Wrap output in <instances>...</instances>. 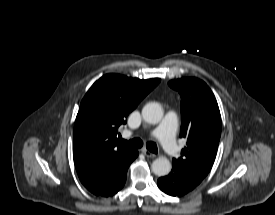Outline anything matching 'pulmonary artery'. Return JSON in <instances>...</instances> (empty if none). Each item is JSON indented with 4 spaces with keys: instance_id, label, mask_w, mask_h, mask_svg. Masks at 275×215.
<instances>
[{
    "instance_id": "e3ab8cb5",
    "label": "pulmonary artery",
    "mask_w": 275,
    "mask_h": 215,
    "mask_svg": "<svg viewBox=\"0 0 275 215\" xmlns=\"http://www.w3.org/2000/svg\"><path fill=\"white\" fill-rule=\"evenodd\" d=\"M177 125L178 121L176 115L169 112L164 117L162 123L150 132V136L157 138L162 144L165 152L170 156H173L178 152V148L175 142Z\"/></svg>"
}]
</instances>
